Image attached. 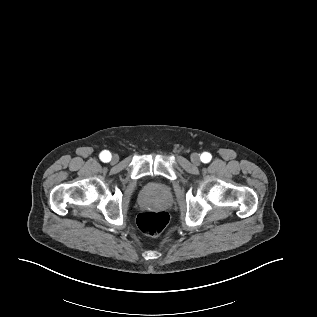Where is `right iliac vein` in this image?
I'll return each mask as SVG.
<instances>
[{"instance_id": "1", "label": "right iliac vein", "mask_w": 317, "mask_h": 317, "mask_svg": "<svg viewBox=\"0 0 317 317\" xmlns=\"http://www.w3.org/2000/svg\"><path fill=\"white\" fill-rule=\"evenodd\" d=\"M118 160H119V157H118L117 155H114V156L112 157V159H111V163H112V164H115V163L118 162Z\"/></svg>"}]
</instances>
